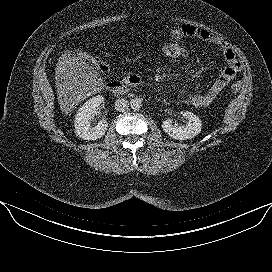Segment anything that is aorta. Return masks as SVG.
I'll use <instances>...</instances> for the list:
<instances>
[{
	"mask_svg": "<svg viewBox=\"0 0 272 272\" xmlns=\"http://www.w3.org/2000/svg\"><path fill=\"white\" fill-rule=\"evenodd\" d=\"M130 107L132 110L137 111L142 107V100L140 98H133L130 100Z\"/></svg>",
	"mask_w": 272,
	"mask_h": 272,
	"instance_id": "aorta-1",
	"label": "aorta"
}]
</instances>
